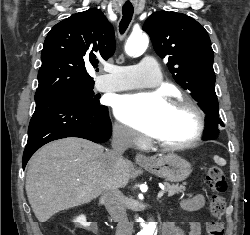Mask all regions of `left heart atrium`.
Wrapping results in <instances>:
<instances>
[{
  "label": "left heart atrium",
  "instance_id": "39dd6f15",
  "mask_svg": "<svg viewBox=\"0 0 250 235\" xmlns=\"http://www.w3.org/2000/svg\"><path fill=\"white\" fill-rule=\"evenodd\" d=\"M168 106L160 93L123 95L116 101L115 113L124 123L152 135Z\"/></svg>",
  "mask_w": 250,
  "mask_h": 235
}]
</instances>
